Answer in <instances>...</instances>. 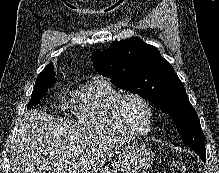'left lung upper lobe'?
<instances>
[{
  "label": "left lung upper lobe",
  "mask_w": 219,
  "mask_h": 173,
  "mask_svg": "<svg viewBox=\"0 0 219 173\" xmlns=\"http://www.w3.org/2000/svg\"><path fill=\"white\" fill-rule=\"evenodd\" d=\"M93 67L114 84L162 108L177 124L182 140L194 151L205 150L198 115L172 65L159 50L139 38L114 42L92 56Z\"/></svg>",
  "instance_id": "5c2ea615"
}]
</instances>
